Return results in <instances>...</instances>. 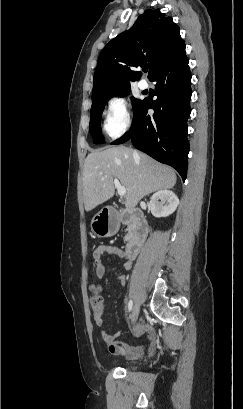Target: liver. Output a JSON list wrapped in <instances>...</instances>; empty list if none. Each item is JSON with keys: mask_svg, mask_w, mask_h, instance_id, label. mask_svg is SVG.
<instances>
[{"mask_svg": "<svg viewBox=\"0 0 243 409\" xmlns=\"http://www.w3.org/2000/svg\"><path fill=\"white\" fill-rule=\"evenodd\" d=\"M115 178L126 188L125 206L128 209H133L150 193L173 188L177 180L171 167L130 147L95 150L87 156L83 168V198L87 212L114 196Z\"/></svg>", "mask_w": 243, "mask_h": 409, "instance_id": "obj_1", "label": "liver"}]
</instances>
